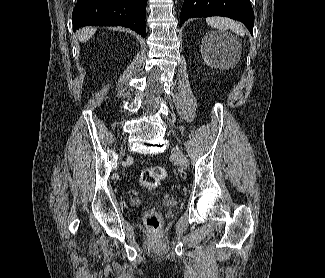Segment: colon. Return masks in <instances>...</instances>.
I'll list each match as a JSON object with an SVG mask.
<instances>
[{"instance_id": "colon-1", "label": "colon", "mask_w": 325, "mask_h": 278, "mask_svg": "<svg viewBox=\"0 0 325 278\" xmlns=\"http://www.w3.org/2000/svg\"><path fill=\"white\" fill-rule=\"evenodd\" d=\"M167 176L168 171L165 167L152 166L143 170L140 182L146 188H153ZM145 224L151 232H158L161 227L160 215L155 210L148 211L145 215Z\"/></svg>"}]
</instances>
